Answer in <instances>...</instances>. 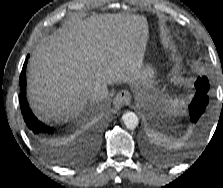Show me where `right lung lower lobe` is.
<instances>
[{"label": "right lung lower lobe", "instance_id": "98d812e1", "mask_svg": "<svg viewBox=\"0 0 223 188\" xmlns=\"http://www.w3.org/2000/svg\"><path fill=\"white\" fill-rule=\"evenodd\" d=\"M29 55L27 56V58ZM26 64L27 60L23 65V69L20 75V89L21 93L19 94L20 106L22 110V115L27 127V131L34 140V142L40 146L49 157L59 165L63 166H72L80 164L84 161L86 156L80 155H65L61 152L60 147L63 143V140L58 138L55 130L45 126L40 122L30 110L26 97H25V88H26ZM98 145V136L96 134H91L89 136V148L95 150Z\"/></svg>", "mask_w": 223, "mask_h": 188}]
</instances>
